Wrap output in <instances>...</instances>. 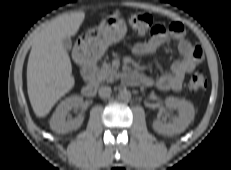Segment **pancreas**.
Wrapping results in <instances>:
<instances>
[{"mask_svg":"<svg viewBox=\"0 0 231 170\" xmlns=\"http://www.w3.org/2000/svg\"><path fill=\"white\" fill-rule=\"evenodd\" d=\"M120 74L117 73V69L113 67L110 63L104 62L101 69L97 71L96 78L98 81L113 82L118 79Z\"/></svg>","mask_w":231,"mask_h":170,"instance_id":"obj_1","label":"pancreas"}]
</instances>
